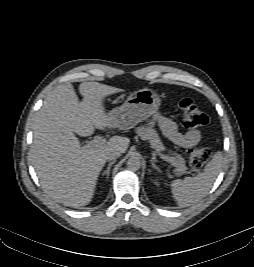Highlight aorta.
<instances>
[{
  "label": "aorta",
  "mask_w": 254,
  "mask_h": 267,
  "mask_svg": "<svg viewBox=\"0 0 254 267\" xmlns=\"http://www.w3.org/2000/svg\"><path fill=\"white\" fill-rule=\"evenodd\" d=\"M127 167L129 170L137 171L141 168V159L137 155H132L127 161Z\"/></svg>",
  "instance_id": "aorta-1"
}]
</instances>
